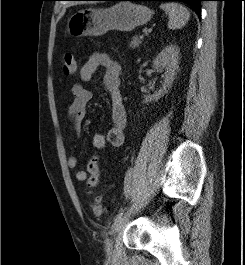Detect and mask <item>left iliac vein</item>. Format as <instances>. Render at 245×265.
Instances as JSON below:
<instances>
[{"mask_svg":"<svg viewBox=\"0 0 245 265\" xmlns=\"http://www.w3.org/2000/svg\"><path fill=\"white\" fill-rule=\"evenodd\" d=\"M131 214L130 212H127L123 217H121L118 220H115L114 224L112 225L111 228V235L115 236L124 226L126 225L128 218ZM105 251L108 256L112 254L113 251V241L111 239H107L105 242Z\"/></svg>","mask_w":245,"mask_h":265,"instance_id":"left-iliac-vein-1","label":"left iliac vein"}]
</instances>
